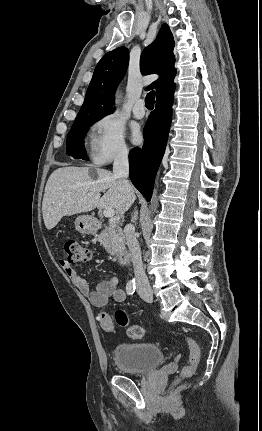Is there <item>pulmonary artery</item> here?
<instances>
[{
    "label": "pulmonary artery",
    "instance_id": "e3ab8cb5",
    "mask_svg": "<svg viewBox=\"0 0 262 431\" xmlns=\"http://www.w3.org/2000/svg\"><path fill=\"white\" fill-rule=\"evenodd\" d=\"M144 101L142 99H138L133 106V115L134 117L141 119L145 116L146 112L143 108Z\"/></svg>",
    "mask_w": 262,
    "mask_h": 431
}]
</instances>
